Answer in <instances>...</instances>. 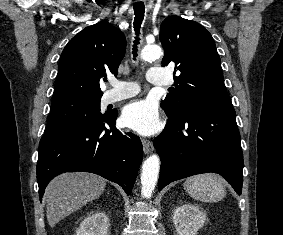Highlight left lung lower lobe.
Returning a JSON list of instances; mask_svg holds the SVG:
<instances>
[{"label": "left lung lower lobe", "instance_id": "0a47b994", "mask_svg": "<svg viewBox=\"0 0 283 235\" xmlns=\"http://www.w3.org/2000/svg\"><path fill=\"white\" fill-rule=\"evenodd\" d=\"M154 147L161 158L159 191L173 181L214 172L241 194L243 153L234 108L169 118Z\"/></svg>", "mask_w": 283, "mask_h": 235}]
</instances>
